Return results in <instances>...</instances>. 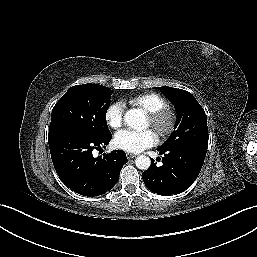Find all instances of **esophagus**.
<instances>
[{"label":"esophagus","instance_id":"obj_1","mask_svg":"<svg viewBox=\"0 0 257 257\" xmlns=\"http://www.w3.org/2000/svg\"><path fill=\"white\" fill-rule=\"evenodd\" d=\"M126 157H127L128 159H132V158L136 157V155H135V154H132V153H126Z\"/></svg>","mask_w":257,"mask_h":257}]
</instances>
